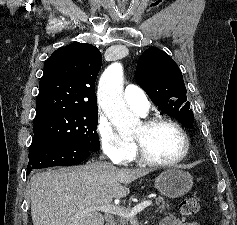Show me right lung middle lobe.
<instances>
[{"label":"right lung middle lobe","instance_id":"1","mask_svg":"<svg viewBox=\"0 0 237 225\" xmlns=\"http://www.w3.org/2000/svg\"><path fill=\"white\" fill-rule=\"evenodd\" d=\"M98 111H83L57 115L34 123V137L64 141L83 149L98 151Z\"/></svg>","mask_w":237,"mask_h":225}]
</instances>
